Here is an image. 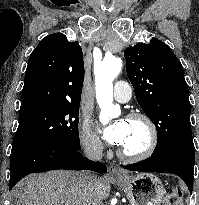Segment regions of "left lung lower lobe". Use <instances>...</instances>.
Returning <instances> with one entry per match:
<instances>
[{
  "instance_id": "left-lung-lower-lobe-1",
  "label": "left lung lower lobe",
  "mask_w": 199,
  "mask_h": 205,
  "mask_svg": "<svg viewBox=\"0 0 199 205\" xmlns=\"http://www.w3.org/2000/svg\"><path fill=\"white\" fill-rule=\"evenodd\" d=\"M195 148L178 147L158 156L130 165H121L124 169L140 172L172 173L181 177L189 188L193 189Z\"/></svg>"
}]
</instances>
